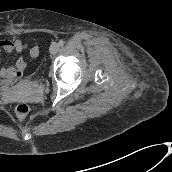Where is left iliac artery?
<instances>
[{
	"label": "left iliac artery",
	"instance_id": "obj_1",
	"mask_svg": "<svg viewBox=\"0 0 172 172\" xmlns=\"http://www.w3.org/2000/svg\"><path fill=\"white\" fill-rule=\"evenodd\" d=\"M58 44H59L60 46H63V45H64V41H63V40H60V41L58 42Z\"/></svg>",
	"mask_w": 172,
	"mask_h": 172
}]
</instances>
